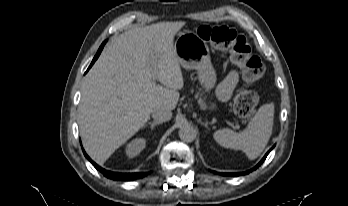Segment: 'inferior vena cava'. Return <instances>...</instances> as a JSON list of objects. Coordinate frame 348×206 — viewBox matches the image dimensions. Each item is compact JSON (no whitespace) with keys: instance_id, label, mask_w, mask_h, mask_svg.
Here are the masks:
<instances>
[{"instance_id":"obj_1","label":"inferior vena cava","mask_w":348,"mask_h":206,"mask_svg":"<svg viewBox=\"0 0 348 206\" xmlns=\"http://www.w3.org/2000/svg\"><path fill=\"white\" fill-rule=\"evenodd\" d=\"M172 117V112L169 109L163 107H157L152 111V118L157 122L169 121Z\"/></svg>"}]
</instances>
